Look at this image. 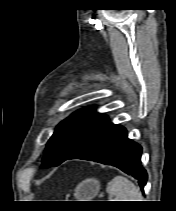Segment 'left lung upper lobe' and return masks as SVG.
Wrapping results in <instances>:
<instances>
[{
	"mask_svg": "<svg viewBox=\"0 0 176 211\" xmlns=\"http://www.w3.org/2000/svg\"><path fill=\"white\" fill-rule=\"evenodd\" d=\"M109 123L104 114L86 107L71 114L55 129L42 159V167L57 166L67 160L99 130Z\"/></svg>",
	"mask_w": 176,
	"mask_h": 211,
	"instance_id": "left-lung-upper-lobe-1",
	"label": "left lung upper lobe"
}]
</instances>
